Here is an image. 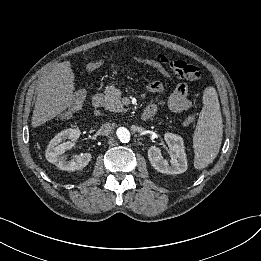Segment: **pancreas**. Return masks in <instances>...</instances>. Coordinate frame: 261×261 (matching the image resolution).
Wrapping results in <instances>:
<instances>
[{"instance_id":"1","label":"pancreas","mask_w":261,"mask_h":261,"mask_svg":"<svg viewBox=\"0 0 261 261\" xmlns=\"http://www.w3.org/2000/svg\"><path fill=\"white\" fill-rule=\"evenodd\" d=\"M105 109L111 112H124L121 102V91L113 86L107 87L105 92Z\"/></svg>"}]
</instances>
